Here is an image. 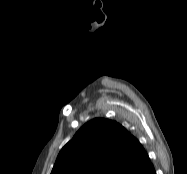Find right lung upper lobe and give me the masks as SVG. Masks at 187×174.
I'll use <instances>...</instances> for the list:
<instances>
[{"label": "right lung upper lobe", "instance_id": "right-lung-upper-lobe-1", "mask_svg": "<svg viewBox=\"0 0 187 174\" xmlns=\"http://www.w3.org/2000/svg\"><path fill=\"white\" fill-rule=\"evenodd\" d=\"M139 143L119 123L95 118L60 151L51 174H153Z\"/></svg>", "mask_w": 187, "mask_h": 174}]
</instances>
